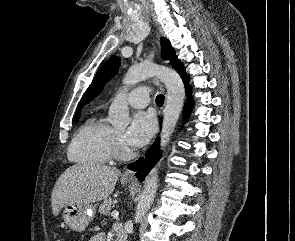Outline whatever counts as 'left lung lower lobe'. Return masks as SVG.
Here are the masks:
<instances>
[{
	"instance_id": "obj_1",
	"label": "left lung lower lobe",
	"mask_w": 295,
	"mask_h": 241,
	"mask_svg": "<svg viewBox=\"0 0 295 241\" xmlns=\"http://www.w3.org/2000/svg\"><path fill=\"white\" fill-rule=\"evenodd\" d=\"M186 90L189 94V78L186 77L183 80ZM192 108V98L189 94L188 102L186 104L184 114L188 116L190 114ZM159 140H156L153 145L149 148V150L146 153L145 158H140L136 162L130 164L128 166L129 169H132L136 172V176L140 181H143L145 179V176L148 174V172L152 169V167L156 164L158 159L161 156V153L159 152Z\"/></svg>"
}]
</instances>
